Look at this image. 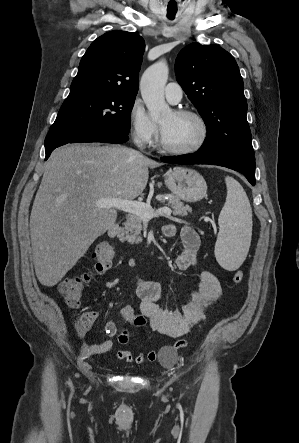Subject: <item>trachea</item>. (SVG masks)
<instances>
[{
    "label": "trachea",
    "mask_w": 299,
    "mask_h": 443,
    "mask_svg": "<svg viewBox=\"0 0 299 443\" xmlns=\"http://www.w3.org/2000/svg\"><path fill=\"white\" fill-rule=\"evenodd\" d=\"M174 17V15H168L169 19H172Z\"/></svg>",
    "instance_id": "obj_1"
}]
</instances>
